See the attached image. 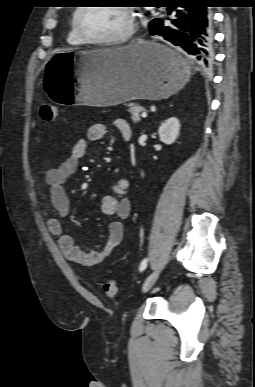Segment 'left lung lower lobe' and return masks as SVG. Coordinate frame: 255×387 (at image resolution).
Returning a JSON list of instances; mask_svg holds the SVG:
<instances>
[{
  "mask_svg": "<svg viewBox=\"0 0 255 387\" xmlns=\"http://www.w3.org/2000/svg\"><path fill=\"white\" fill-rule=\"evenodd\" d=\"M185 10L178 11L173 26H165L160 18L149 24L151 35H158L184 50L200 66H208L213 61V19L210 4L214 0H181ZM170 8H177L172 5ZM170 13V11H168Z\"/></svg>",
  "mask_w": 255,
  "mask_h": 387,
  "instance_id": "obj_1",
  "label": "left lung lower lobe"
}]
</instances>
